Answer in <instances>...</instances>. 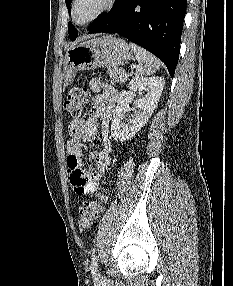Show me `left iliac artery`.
<instances>
[{
	"label": "left iliac artery",
	"instance_id": "1",
	"mask_svg": "<svg viewBox=\"0 0 233 286\" xmlns=\"http://www.w3.org/2000/svg\"><path fill=\"white\" fill-rule=\"evenodd\" d=\"M97 268H98V259L96 255H93L91 260V273L95 278L97 277Z\"/></svg>",
	"mask_w": 233,
	"mask_h": 286
}]
</instances>
